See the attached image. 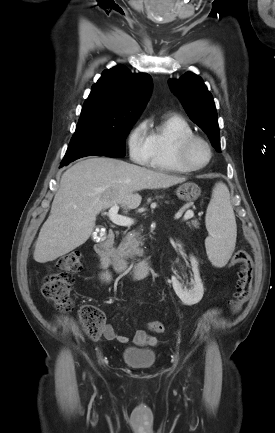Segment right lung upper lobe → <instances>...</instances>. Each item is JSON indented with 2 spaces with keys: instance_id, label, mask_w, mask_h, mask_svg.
Here are the masks:
<instances>
[{
  "instance_id": "obj_1",
  "label": "right lung upper lobe",
  "mask_w": 275,
  "mask_h": 433,
  "mask_svg": "<svg viewBox=\"0 0 275 433\" xmlns=\"http://www.w3.org/2000/svg\"><path fill=\"white\" fill-rule=\"evenodd\" d=\"M151 88L149 74H132L123 65L107 69L92 86L79 122L119 123L137 120L148 101Z\"/></svg>"
}]
</instances>
